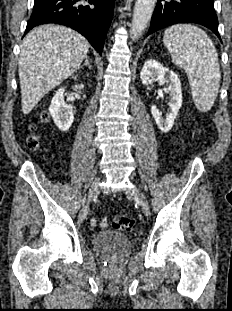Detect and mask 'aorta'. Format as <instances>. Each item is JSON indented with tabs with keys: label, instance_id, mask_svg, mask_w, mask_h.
I'll list each match as a JSON object with an SVG mask.
<instances>
[{
	"label": "aorta",
	"instance_id": "1",
	"mask_svg": "<svg viewBox=\"0 0 232 311\" xmlns=\"http://www.w3.org/2000/svg\"><path fill=\"white\" fill-rule=\"evenodd\" d=\"M157 0H137L133 10L131 37L133 40L142 35L146 29Z\"/></svg>",
	"mask_w": 232,
	"mask_h": 311
}]
</instances>
